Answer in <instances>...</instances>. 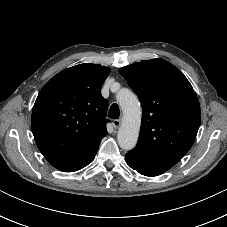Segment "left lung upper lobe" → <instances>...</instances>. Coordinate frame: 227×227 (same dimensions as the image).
Segmentation results:
<instances>
[{
  "instance_id": "left-lung-upper-lobe-1",
  "label": "left lung upper lobe",
  "mask_w": 227,
  "mask_h": 227,
  "mask_svg": "<svg viewBox=\"0 0 227 227\" xmlns=\"http://www.w3.org/2000/svg\"><path fill=\"white\" fill-rule=\"evenodd\" d=\"M120 74L138 95L143 111L138 143L126 157L167 171L194 143L201 121L198 98L183 73L164 59L122 67Z\"/></svg>"
}]
</instances>
